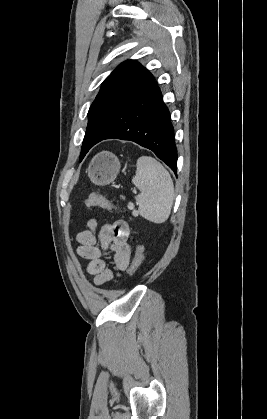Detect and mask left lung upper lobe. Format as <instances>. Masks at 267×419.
I'll use <instances>...</instances> for the list:
<instances>
[{
    "label": "left lung upper lobe",
    "instance_id": "left-lung-upper-lobe-1",
    "mask_svg": "<svg viewBox=\"0 0 267 419\" xmlns=\"http://www.w3.org/2000/svg\"><path fill=\"white\" fill-rule=\"evenodd\" d=\"M153 80L152 74L135 60L125 61L114 69L90 106L80 159L88 152L93 137L95 140L111 131V115L129 107Z\"/></svg>",
    "mask_w": 267,
    "mask_h": 419
}]
</instances>
